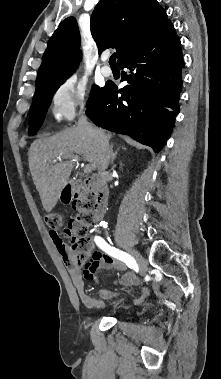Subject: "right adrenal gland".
Instances as JSON below:
<instances>
[{
    "label": "right adrenal gland",
    "instance_id": "right-adrenal-gland-1",
    "mask_svg": "<svg viewBox=\"0 0 221 379\" xmlns=\"http://www.w3.org/2000/svg\"><path fill=\"white\" fill-rule=\"evenodd\" d=\"M118 150H119V148L116 151H113V144H111V146H110V152H111L110 163L111 164L114 163V160H115V158L117 156Z\"/></svg>",
    "mask_w": 221,
    "mask_h": 379
}]
</instances>
